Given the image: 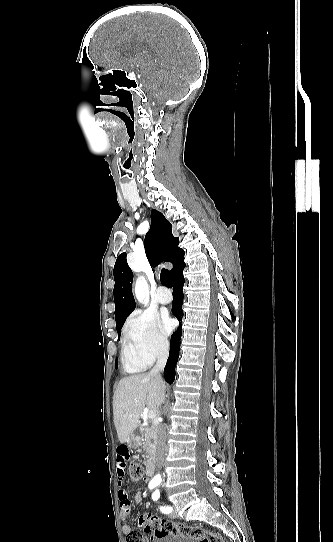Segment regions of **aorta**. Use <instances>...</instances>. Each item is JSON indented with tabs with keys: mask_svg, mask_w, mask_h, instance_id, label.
Instances as JSON below:
<instances>
[{
	"mask_svg": "<svg viewBox=\"0 0 333 542\" xmlns=\"http://www.w3.org/2000/svg\"><path fill=\"white\" fill-rule=\"evenodd\" d=\"M135 294H136L137 300H139V302L143 304V300H145L147 296V292H146V286L144 282H142V280H137L136 286H135ZM153 480L154 482H157V484H161L162 482V478L160 474H157V476H154Z\"/></svg>",
	"mask_w": 333,
	"mask_h": 542,
	"instance_id": "762f6f07",
	"label": "aorta"
}]
</instances>
